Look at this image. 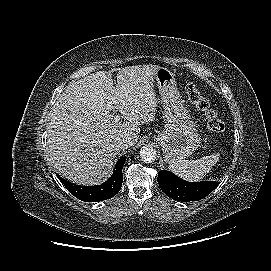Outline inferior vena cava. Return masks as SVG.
<instances>
[{
	"mask_svg": "<svg viewBox=\"0 0 271 271\" xmlns=\"http://www.w3.org/2000/svg\"><path fill=\"white\" fill-rule=\"evenodd\" d=\"M116 144L120 149H124L131 147L133 145V142L130 136H123L117 139Z\"/></svg>",
	"mask_w": 271,
	"mask_h": 271,
	"instance_id": "1",
	"label": "inferior vena cava"
}]
</instances>
